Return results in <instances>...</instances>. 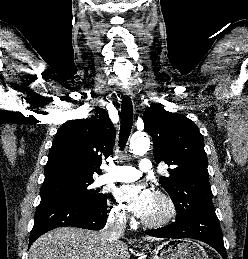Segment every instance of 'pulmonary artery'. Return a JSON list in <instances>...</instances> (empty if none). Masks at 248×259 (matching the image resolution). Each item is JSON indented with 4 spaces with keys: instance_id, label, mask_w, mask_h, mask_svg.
<instances>
[{
    "instance_id": "pulmonary-artery-1",
    "label": "pulmonary artery",
    "mask_w": 248,
    "mask_h": 259,
    "mask_svg": "<svg viewBox=\"0 0 248 259\" xmlns=\"http://www.w3.org/2000/svg\"><path fill=\"white\" fill-rule=\"evenodd\" d=\"M152 164L147 158L140 160L138 169L131 166H111L107 169V173L101 175L97 180V185H103L112 182H131L135 181L143 173L151 171Z\"/></svg>"
}]
</instances>
